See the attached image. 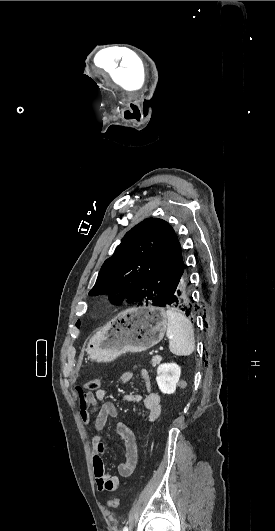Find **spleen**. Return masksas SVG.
I'll return each instance as SVG.
<instances>
[{
    "mask_svg": "<svg viewBox=\"0 0 275 531\" xmlns=\"http://www.w3.org/2000/svg\"><path fill=\"white\" fill-rule=\"evenodd\" d=\"M167 315V329L166 337L172 339V342H169V349L173 355H191L195 351V337L194 329L191 321L175 311V309H168L166 311Z\"/></svg>",
    "mask_w": 275,
    "mask_h": 531,
    "instance_id": "1",
    "label": "spleen"
}]
</instances>
